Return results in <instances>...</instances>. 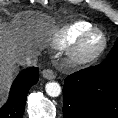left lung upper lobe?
Masks as SVG:
<instances>
[{"mask_svg": "<svg viewBox=\"0 0 118 118\" xmlns=\"http://www.w3.org/2000/svg\"><path fill=\"white\" fill-rule=\"evenodd\" d=\"M114 57H118V38L115 42V45L113 46V48L111 49V51L109 52L107 59H111Z\"/></svg>", "mask_w": 118, "mask_h": 118, "instance_id": "1", "label": "left lung upper lobe"}]
</instances>
